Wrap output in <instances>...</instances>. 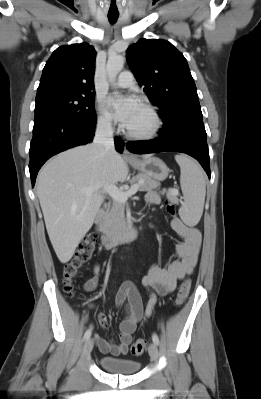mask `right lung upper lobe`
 <instances>
[{
    "label": "right lung upper lobe",
    "instance_id": "cb5924a9",
    "mask_svg": "<svg viewBox=\"0 0 261 399\" xmlns=\"http://www.w3.org/2000/svg\"><path fill=\"white\" fill-rule=\"evenodd\" d=\"M96 51L87 43L57 48L47 61L36 98L54 94L94 95Z\"/></svg>",
    "mask_w": 261,
    "mask_h": 399
}]
</instances>
